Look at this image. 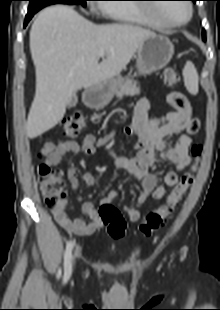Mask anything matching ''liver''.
I'll use <instances>...</instances> for the list:
<instances>
[{
    "label": "liver",
    "mask_w": 220,
    "mask_h": 310,
    "mask_svg": "<svg viewBox=\"0 0 220 310\" xmlns=\"http://www.w3.org/2000/svg\"><path fill=\"white\" fill-rule=\"evenodd\" d=\"M154 32L130 24L96 25L72 7L45 8L30 30L36 90L26 134L36 138L60 122L70 97L81 88L114 79ZM106 58L99 62V52Z\"/></svg>",
    "instance_id": "6515ba94"
}]
</instances>
